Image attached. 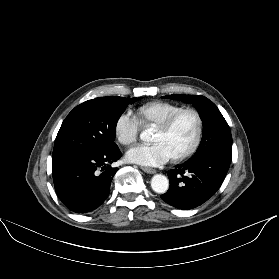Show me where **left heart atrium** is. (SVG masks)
Wrapping results in <instances>:
<instances>
[{
    "mask_svg": "<svg viewBox=\"0 0 279 279\" xmlns=\"http://www.w3.org/2000/svg\"><path fill=\"white\" fill-rule=\"evenodd\" d=\"M126 157L130 162L145 166L160 165L171 158L168 150L161 143L137 146L130 149Z\"/></svg>",
    "mask_w": 279,
    "mask_h": 279,
    "instance_id": "1",
    "label": "left heart atrium"
}]
</instances>
